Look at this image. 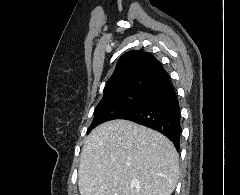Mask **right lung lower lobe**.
<instances>
[{"mask_svg": "<svg viewBox=\"0 0 240 195\" xmlns=\"http://www.w3.org/2000/svg\"><path fill=\"white\" fill-rule=\"evenodd\" d=\"M119 119L130 120L159 131L169 138L179 150L180 106L170 79L150 89L138 106Z\"/></svg>", "mask_w": 240, "mask_h": 195, "instance_id": "98d812e1", "label": "right lung lower lobe"}]
</instances>
